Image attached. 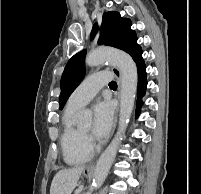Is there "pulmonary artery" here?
<instances>
[{"label": "pulmonary artery", "instance_id": "obj_1", "mask_svg": "<svg viewBox=\"0 0 201 194\" xmlns=\"http://www.w3.org/2000/svg\"><path fill=\"white\" fill-rule=\"evenodd\" d=\"M113 78L112 73L103 71L88 76L70 95L68 105L81 108L86 105L99 90Z\"/></svg>", "mask_w": 201, "mask_h": 194}]
</instances>
